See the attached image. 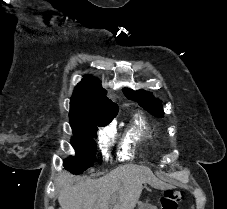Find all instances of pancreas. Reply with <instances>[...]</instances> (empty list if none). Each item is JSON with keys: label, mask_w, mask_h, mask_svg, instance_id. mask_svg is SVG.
Returning <instances> with one entry per match:
<instances>
[{"label": "pancreas", "mask_w": 227, "mask_h": 209, "mask_svg": "<svg viewBox=\"0 0 227 209\" xmlns=\"http://www.w3.org/2000/svg\"><path fill=\"white\" fill-rule=\"evenodd\" d=\"M141 209H148L146 206H143Z\"/></svg>", "instance_id": "1"}]
</instances>
